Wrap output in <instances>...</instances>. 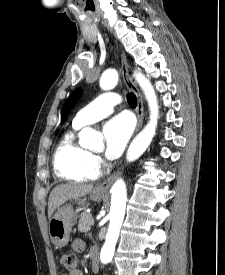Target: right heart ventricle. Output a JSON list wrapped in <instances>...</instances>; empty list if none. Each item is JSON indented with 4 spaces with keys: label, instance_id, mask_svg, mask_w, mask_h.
I'll use <instances>...</instances> for the list:
<instances>
[{
    "label": "right heart ventricle",
    "instance_id": "1",
    "mask_svg": "<svg viewBox=\"0 0 225 275\" xmlns=\"http://www.w3.org/2000/svg\"><path fill=\"white\" fill-rule=\"evenodd\" d=\"M80 128L73 124V129L63 135L53 155V166L58 176L84 182L97 178L99 170L94 156L76 138V131Z\"/></svg>",
    "mask_w": 225,
    "mask_h": 275
}]
</instances>
